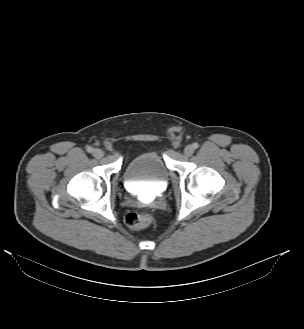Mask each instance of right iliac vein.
<instances>
[{"label": "right iliac vein", "mask_w": 304, "mask_h": 329, "mask_svg": "<svg viewBox=\"0 0 304 329\" xmlns=\"http://www.w3.org/2000/svg\"><path fill=\"white\" fill-rule=\"evenodd\" d=\"M93 156L97 159H100L103 157V151L101 149H94L93 150Z\"/></svg>", "instance_id": "right-iliac-vein-1"}]
</instances>
